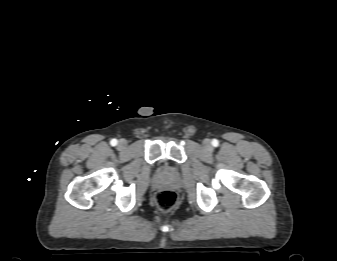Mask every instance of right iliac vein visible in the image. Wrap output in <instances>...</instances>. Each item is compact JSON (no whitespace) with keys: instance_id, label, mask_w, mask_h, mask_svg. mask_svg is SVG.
<instances>
[{"instance_id":"obj_1","label":"right iliac vein","mask_w":337,"mask_h":261,"mask_svg":"<svg viewBox=\"0 0 337 261\" xmlns=\"http://www.w3.org/2000/svg\"><path fill=\"white\" fill-rule=\"evenodd\" d=\"M126 146H127V141H126L125 139H121V140L119 141V143H118V147H119L120 149H125Z\"/></svg>"}]
</instances>
